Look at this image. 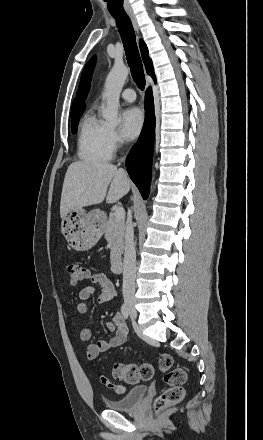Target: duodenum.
<instances>
[{
  "instance_id": "1",
  "label": "duodenum",
  "mask_w": 263,
  "mask_h": 440,
  "mask_svg": "<svg viewBox=\"0 0 263 440\" xmlns=\"http://www.w3.org/2000/svg\"><path fill=\"white\" fill-rule=\"evenodd\" d=\"M122 262L120 260H115L112 266V271L116 274L122 271Z\"/></svg>"
}]
</instances>
